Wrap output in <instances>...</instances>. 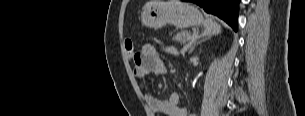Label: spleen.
<instances>
[{"instance_id":"spleen-1","label":"spleen","mask_w":305,"mask_h":116,"mask_svg":"<svg viewBox=\"0 0 305 116\" xmlns=\"http://www.w3.org/2000/svg\"><path fill=\"white\" fill-rule=\"evenodd\" d=\"M211 31L214 35H218L219 33H221V26L217 22L212 21Z\"/></svg>"}]
</instances>
